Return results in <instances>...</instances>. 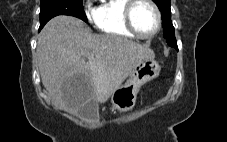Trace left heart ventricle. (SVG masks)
<instances>
[{
  "label": "left heart ventricle",
  "instance_id": "1",
  "mask_svg": "<svg viewBox=\"0 0 227 142\" xmlns=\"http://www.w3.org/2000/svg\"><path fill=\"white\" fill-rule=\"evenodd\" d=\"M134 25L142 34H150L157 27V17L154 9L147 3H139L133 13Z\"/></svg>",
  "mask_w": 227,
  "mask_h": 142
}]
</instances>
